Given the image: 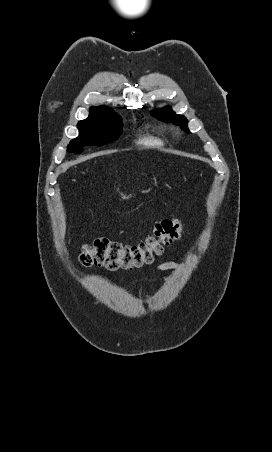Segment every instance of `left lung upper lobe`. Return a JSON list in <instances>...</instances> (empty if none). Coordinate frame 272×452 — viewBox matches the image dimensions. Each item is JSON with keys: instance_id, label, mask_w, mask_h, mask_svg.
I'll use <instances>...</instances> for the list:
<instances>
[{"instance_id": "5c2ea615", "label": "left lung upper lobe", "mask_w": 272, "mask_h": 452, "mask_svg": "<svg viewBox=\"0 0 272 452\" xmlns=\"http://www.w3.org/2000/svg\"><path fill=\"white\" fill-rule=\"evenodd\" d=\"M152 115L159 120L165 122H173L177 125H180L185 131L189 132L187 127V119L184 116L175 114L170 107H164L161 110H155L152 112Z\"/></svg>"}]
</instances>
